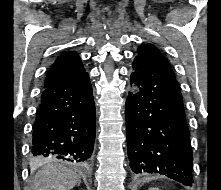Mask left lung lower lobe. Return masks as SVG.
<instances>
[{"label": "left lung lower lobe", "mask_w": 221, "mask_h": 190, "mask_svg": "<svg viewBox=\"0 0 221 190\" xmlns=\"http://www.w3.org/2000/svg\"><path fill=\"white\" fill-rule=\"evenodd\" d=\"M126 99L130 167L192 186V150L179 83L156 63L136 56Z\"/></svg>", "instance_id": "0a47b994"}]
</instances>
